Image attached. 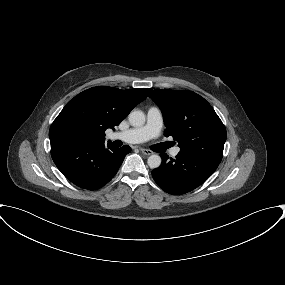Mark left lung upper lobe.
<instances>
[{
  "instance_id": "obj_1",
  "label": "left lung upper lobe",
  "mask_w": 285,
  "mask_h": 285,
  "mask_svg": "<svg viewBox=\"0 0 285 285\" xmlns=\"http://www.w3.org/2000/svg\"><path fill=\"white\" fill-rule=\"evenodd\" d=\"M149 97L162 111L164 135L178 142L180 152L221 162L226 129L203 97L192 91L161 89L153 90Z\"/></svg>"
}]
</instances>
